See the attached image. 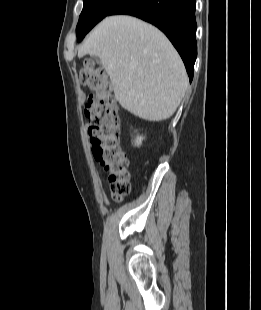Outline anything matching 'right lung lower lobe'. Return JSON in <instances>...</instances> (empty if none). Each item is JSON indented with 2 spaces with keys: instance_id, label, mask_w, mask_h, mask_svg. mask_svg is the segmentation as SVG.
Segmentation results:
<instances>
[{
  "instance_id": "98d812e1",
  "label": "right lung lower lobe",
  "mask_w": 261,
  "mask_h": 310,
  "mask_svg": "<svg viewBox=\"0 0 261 310\" xmlns=\"http://www.w3.org/2000/svg\"><path fill=\"white\" fill-rule=\"evenodd\" d=\"M195 9V0H124L109 15L136 16L163 31L183 59L191 82L197 57Z\"/></svg>"
}]
</instances>
